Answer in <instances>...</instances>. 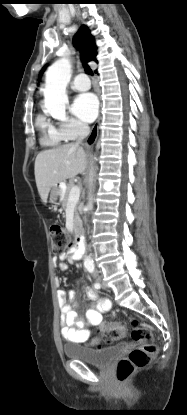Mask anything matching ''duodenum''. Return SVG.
<instances>
[{
	"instance_id": "1",
	"label": "duodenum",
	"mask_w": 187,
	"mask_h": 415,
	"mask_svg": "<svg viewBox=\"0 0 187 415\" xmlns=\"http://www.w3.org/2000/svg\"><path fill=\"white\" fill-rule=\"evenodd\" d=\"M73 230H74V238H75L73 257L77 258L83 247V237H82L79 224L76 221L73 223Z\"/></svg>"
}]
</instances>
